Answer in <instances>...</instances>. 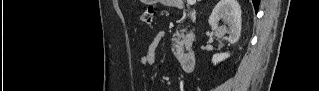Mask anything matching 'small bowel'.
<instances>
[{
    "instance_id": "small-bowel-1",
    "label": "small bowel",
    "mask_w": 319,
    "mask_h": 91,
    "mask_svg": "<svg viewBox=\"0 0 319 91\" xmlns=\"http://www.w3.org/2000/svg\"><path fill=\"white\" fill-rule=\"evenodd\" d=\"M161 39H162V36L160 34H156L152 37V39L148 43L144 54L140 58V63L143 66L151 65L155 62L156 51L161 42Z\"/></svg>"
}]
</instances>
